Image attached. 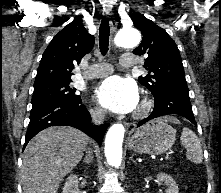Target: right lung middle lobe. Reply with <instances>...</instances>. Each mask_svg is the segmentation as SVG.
<instances>
[{
    "mask_svg": "<svg viewBox=\"0 0 221 193\" xmlns=\"http://www.w3.org/2000/svg\"><path fill=\"white\" fill-rule=\"evenodd\" d=\"M71 81L46 83L34 86L32 104L49 100H69L80 99L75 94V88H70Z\"/></svg>",
    "mask_w": 221,
    "mask_h": 193,
    "instance_id": "dd1d6c3e",
    "label": "right lung middle lobe"
}]
</instances>
